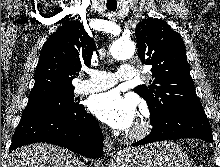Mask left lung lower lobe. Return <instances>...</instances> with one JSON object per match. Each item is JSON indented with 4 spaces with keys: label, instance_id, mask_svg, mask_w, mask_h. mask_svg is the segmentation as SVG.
<instances>
[{
    "label": "left lung lower lobe",
    "instance_id": "obj_1",
    "mask_svg": "<svg viewBox=\"0 0 220 167\" xmlns=\"http://www.w3.org/2000/svg\"><path fill=\"white\" fill-rule=\"evenodd\" d=\"M150 135L132 146L179 138H199L213 143L212 129L202 105H175L157 118H152Z\"/></svg>",
    "mask_w": 220,
    "mask_h": 167
}]
</instances>
